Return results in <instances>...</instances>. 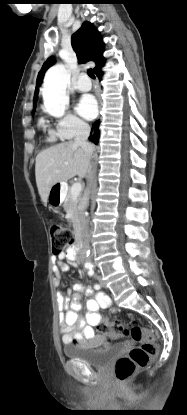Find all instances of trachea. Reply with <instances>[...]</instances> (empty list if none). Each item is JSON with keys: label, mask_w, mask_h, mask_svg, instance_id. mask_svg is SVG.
<instances>
[{"label": "trachea", "mask_w": 187, "mask_h": 415, "mask_svg": "<svg viewBox=\"0 0 187 415\" xmlns=\"http://www.w3.org/2000/svg\"><path fill=\"white\" fill-rule=\"evenodd\" d=\"M87 74H88V75H89V77H91L92 79H94V78H95V75H94V73H93V70H92V69H88Z\"/></svg>", "instance_id": "trachea-1"}]
</instances>
